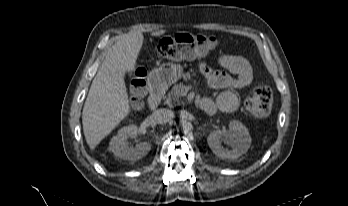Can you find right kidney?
Here are the masks:
<instances>
[{
  "label": "right kidney",
  "instance_id": "right-kidney-1",
  "mask_svg": "<svg viewBox=\"0 0 348 206\" xmlns=\"http://www.w3.org/2000/svg\"><path fill=\"white\" fill-rule=\"evenodd\" d=\"M138 134V127L134 124L121 128L111 139L109 147L116 157L124 160L136 161L144 157L150 150L151 144L142 142L135 148H130L128 138H135Z\"/></svg>",
  "mask_w": 348,
  "mask_h": 206
}]
</instances>
